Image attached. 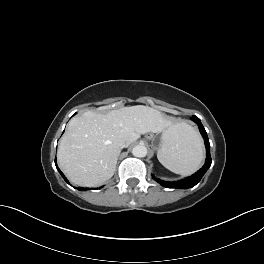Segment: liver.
Instances as JSON below:
<instances>
[{"mask_svg": "<svg viewBox=\"0 0 264 264\" xmlns=\"http://www.w3.org/2000/svg\"><path fill=\"white\" fill-rule=\"evenodd\" d=\"M176 125L160 111L143 105L105 115L86 111L69 122L58 147V164L72 183L94 187L113 176L121 142L127 147L141 134L167 129L172 133Z\"/></svg>", "mask_w": 264, "mask_h": 264, "instance_id": "6515ba94", "label": "liver"}]
</instances>
